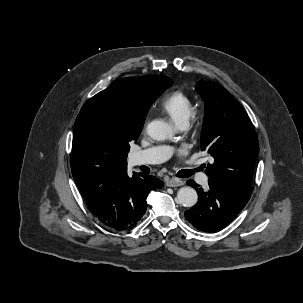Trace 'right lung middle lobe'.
I'll return each instance as SVG.
<instances>
[{"instance_id":"1","label":"right lung middle lobe","mask_w":303,"mask_h":303,"mask_svg":"<svg viewBox=\"0 0 303 303\" xmlns=\"http://www.w3.org/2000/svg\"><path fill=\"white\" fill-rule=\"evenodd\" d=\"M137 138L138 136H128L127 134L119 131H114L108 136L109 142L122 153L129 152L130 142ZM72 175L78 188L82 187L89 179L87 174L82 171L72 170Z\"/></svg>"}]
</instances>
